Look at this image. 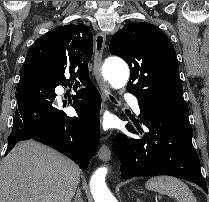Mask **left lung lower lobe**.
I'll return each mask as SVG.
<instances>
[{"label":"left lung lower lobe","mask_w":209,"mask_h":202,"mask_svg":"<svg viewBox=\"0 0 209 202\" xmlns=\"http://www.w3.org/2000/svg\"><path fill=\"white\" fill-rule=\"evenodd\" d=\"M140 122L148 128L131 124L132 136L118 133L114 149L121 162V178L170 175L191 181L206 193L198 154L192 144V127L187 109H173L138 102Z\"/></svg>","instance_id":"obj_1"}]
</instances>
